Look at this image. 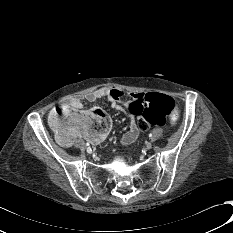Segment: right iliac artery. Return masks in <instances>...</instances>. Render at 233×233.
<instances>
[{
	"label": "right iliac artery",
	"mask_w": 233,
	"mask_h": 233,
	"mask_svg": "<svg viewBox=\"0 0 233 233\" xmlns=\"http://www.w3.org/2000/svg\"><path fill=\"white\" fill-rule=\"evenodd\" d=\"M87 146H89V144L87 143ZM88 149H90L91 150V148L90 147H88ZM92 151V150H91Z\"/></svg>",
	"instance_id": "right-iliac-artery-1"
}]
</instances>
